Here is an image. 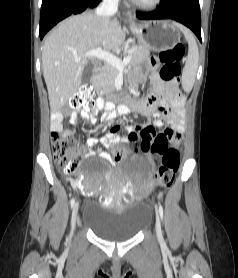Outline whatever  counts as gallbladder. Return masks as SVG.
Returning a JSON list of instances; mask_svg holds the SVG:
<instances>
[{
	"label": "gallbladder",
	"instance_id": "bac80fb5",
	"mask_svg": "<svg viewBox=\"0 0 238 278\" xmlns=\"http://www.w3.org/2000/svg\"><path fill=\"white\" fill-rule=\"evenodd\" d=\"M93 65L88 63L84 66L83 74H82V83H88L91 80Z\"/></svg>",
	"mask_w": 238,
	"mask_h": 278
}]
</instances>
